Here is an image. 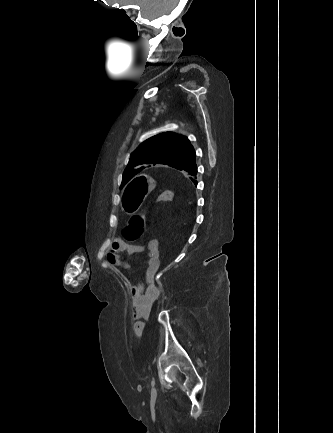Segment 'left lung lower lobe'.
I'll use <instances>...</instances> for the list:
<instances>
[{
  "mask_svg": "<svg viewBox=\"0 0 333 433\" xmlns=\"http://www.w3.org/2000/svg\"><path fill=\"white\" fill-rule=\"evenodd\" d=\"M145 168V167H144ZM184 171L188 172L190 175L194 176L196 178L197 175V165L196 161L189 165L187 168L183 169ZM192 181L196 184V182L192 179Z\"/></svg>",
  "mask_w": 333,
  "mask_h": 433,
  "instance_id": "left-lung-lower-lobe-1",
  "label": "left lung lower lobe"
}]
</instances>
